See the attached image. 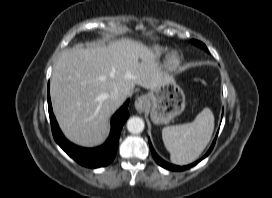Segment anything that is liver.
<instances>
[{"instance_id":"1","label":"liver","mask_w":272,"mask_h":198,"mask_svg":"<svg viewBox=\"0 0 272 198\" xmlns=\"http://www.w3.org/2000/svg\"><path fill=\"white\" fill-rule=\"evenodd\" d=\"M167 77L153 50L129 38L66 50L51 77L54 114L70 141L92 147L104 139L110 117L135 85L152 90ZM114 89L120 92L118 101L110 98Z\"/></svg>"}]
</instances>
